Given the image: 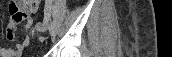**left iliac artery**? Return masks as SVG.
I'll return each instance as SVG.
<instances>
[{
  "label": "left iliac artery",
  "mask_w": 172,
  "mask_h": 57,
  "mask_svg": "<svg viewBox=\"0 0 172 57\" xmlns=\"http://www.w3.org/2000/svg\"><path fill=\"white\" fill-rule=\"evenodd\" d=\"M46 4L50 7V9L52 8V0H46ZM53 18L56 21V15H55V13H53Z\"/></svg>",
  "instance_id": "44dca946"
}]
</instances>
